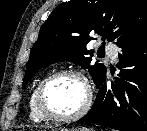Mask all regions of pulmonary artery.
I'll return each instance as SVG.
<instances>
[{"instance_id": "e3ab8cb5", "label": "pulmonary artery", "mask_w": 147, "mask_h": 131, "mask_svg": "<svg viewBox=\"0 0 147 131\" xmlns=\"http://www.w3.org/2000/svg\"><path fill=\"white\" fill-rule=\"evenodd\" d=\"M106 53L113 61H117V57H118L117 47H115L114 45H107L106 46Z\"/></svg>"}]
</instances>
